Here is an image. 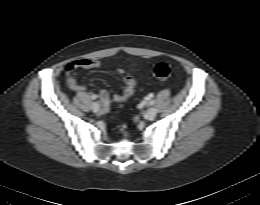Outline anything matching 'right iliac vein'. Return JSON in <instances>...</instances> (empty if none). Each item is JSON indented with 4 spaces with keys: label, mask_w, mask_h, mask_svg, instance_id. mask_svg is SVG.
<instances>
[{
    "label": "right iliac vein",
    "mask_w": 260,
    "mask_h": 205,
    "mask_svg": "<svg viewBox=\"0 0 260 205\" xmlns=\"http://www.w3.org/2000/svg\"><path fill=\"white\" fill-rule=\"evenodd\" d=\"M91 109L93 112H98L101 109V107L97 102H93L91 104Z\"/></svg>",
    "instance_id": "63e3f726"
}]
</instances>
